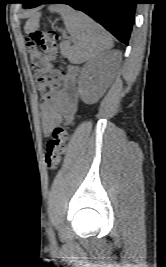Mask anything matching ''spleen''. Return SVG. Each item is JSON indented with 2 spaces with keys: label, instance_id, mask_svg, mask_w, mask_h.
Returning <instances> with one entry per match:
<instances>
[{
  "label": "spleen",
  "instance_id": "obj_1",
  "mask_svg": "<svg viewBox=\"0 0 166 267\" xmlns=\"http://www.w3.org/2000/svg\"><path fill=\"white\" fill-rule=\"evenodd\" d=\"M49 10L61 15L66 29L75 39V44L67 52L70 62L80 64L112 48L110 35L84 13L75 11L67 5H52ZM37 18L38 16H35L31 21L33 27L38 26Z\"/></svg>",
  "mask_w": 166,
  "mask_h": 267
}]
</instances>
